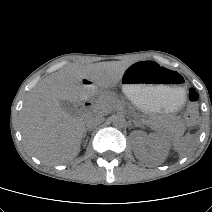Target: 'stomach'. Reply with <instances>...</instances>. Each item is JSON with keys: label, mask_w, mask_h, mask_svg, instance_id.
<instances>
[{"label": "stomach", "mask_w": 212, "mask_h": 212, "mask_svg": "<svg viewBox=\"0 0 212 212\" xmlns=\"http://www.w3.org/2000/svg\"><path fill=\"white\" fill-rule=\"evenodd\" d=\"M121 82L124 94L145 113L174 111L185 102V87L177 72L154 61L129 65Z\"/></svg>", "instance_id": "1"}]
</instances>
